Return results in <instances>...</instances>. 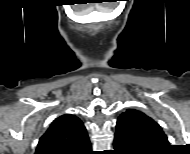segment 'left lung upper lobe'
Returning <instances> with one entry per match:
<instances>
[{"mask_svg": "<svg viewBox=\"0 0 190 154\" xmlns=\"http://www.w3.org/2000/svg\"><path fill=\"white\" fill-rule=\"evenodd\" d=\"M128 118L134 132L143 140L158 146H168V138L160 125L141 111L128 109L118 119Z\"/></svg>", "mask_w": 190, "mask_h": 154, "instance_id": "left-lung-upper-lobe-1", "label": "left lung upper lobe"}]
</instances>
